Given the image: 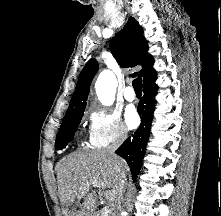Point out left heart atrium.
<instances>
[{"label":"left heart atrium","instance_id":"39dd6f15","mask_svg":"<svg viewBox=\"0 0 221 216\" xmlns=\"http://www.w3.org/2000/svg\"><path fill=\"white\" fill-rule=\"evenodd\" d=\"M125 121L129 128H136L139 124V116L134 106H129L125 110Z\"/></svg>","mask_w":221,"mask_h":216}]
</instances>
